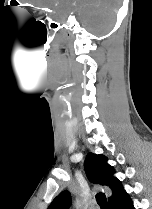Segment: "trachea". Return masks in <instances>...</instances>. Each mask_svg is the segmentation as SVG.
<instances>
[{
	"label": "trachea",
	"instance_id": "trachea-1",
	"mask_svg": "<svg viewBox=\"0 0 152 209\" xmlns=\"http://www.w3.org/2000/svg\"><path fill=\"white\" fill-rule=\"evenodd\" d=\"M96 200L101 209H109L104 193H98L96 195Z\"/></svg>",
	"mask_w": 152,
	"mask_h": 209
}]
</instances>
